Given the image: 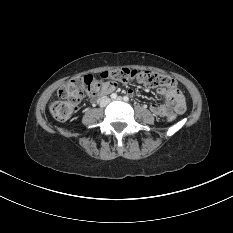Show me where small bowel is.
<instances>
[{
	"instance_id": "obj_1",
	"label": "small bowel",
	"mask_w": 233,
	"mask_h": 233,
	"mask_svg": "<svg viewBox=\"0 0 233 233\" xmlns=\"http://www.w3.org/2000/svg\"><path fill=\"white\" fill-rule=\"evenodd\" d=\"M116 89V84L104 87L97 95L106 94ZM131 94V91L129 92ZM157 93L163 96L166 102L162 105L152 104L151 112L161 118H170L175 114H183L186 111V103L182 93L175 89L159 88Z\"/></svg>"
}]
</instances>
